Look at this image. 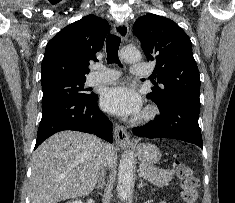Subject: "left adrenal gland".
I'll return each instance as SVG.
<instances>
[{
	"label": "left adrenal gland",
	"mask_w": 235,
	"mask_h": 203,
	"mask_svg": "<svg viewBox=\"0 0 235 203\" xmlns=\"http://www.w3.org/2000/svg\"><path fill=\"white\" fill-rule=\"evenodd\" d=\"M143 186H146V184H144V183H143V180L140 179L139 185H138L137 187H138V189H140V188L143 187Z\"/></svg>",
	"instance_id": "left-adrenal-gland-1"
}]
</instances>
